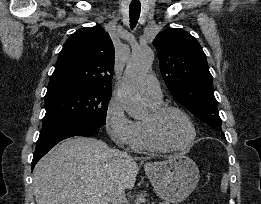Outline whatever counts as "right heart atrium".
<instances>
[{
  "mask_svg": "<svg viewBox=\"0 0 261 204\" xmlns=\"http://www.w3.org/2000/svg\"><path fill=\"white\" fill-rule=\"evenodd\" d=\"M104 125L113 142L124 146L132 144L134 121L127 116L121 102L116 98H111L108 102Z\"/></svg>",
  "mask_w": 261,
  "mask_h": 204,
  "instance_id": "1",
  "label": "right heart atrium"
}]
</instances>
